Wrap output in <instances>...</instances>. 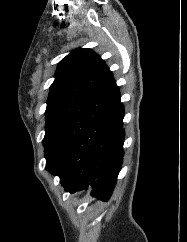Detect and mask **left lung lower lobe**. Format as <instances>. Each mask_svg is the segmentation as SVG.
Returning <instances> with one entry per match:
<instances>
[{
  "instance_id": "0a47b994",
  "label": "left lung lower lobe",
  "mask_w": 187,
  "mask_h": 242,
  "mask_svg": "<svg viewBox=\"0 0 187 242\" xmlns=\"http://www.w3.org/2000/svg\"><path fill=\"white\" fill-rule=\"evenodd\" d=\"M123 117L124 107L119 101L79 138L52 172L60 177L67 192L91 186L94 197L103 201L110 198L124 155Z\"/></svg>"
}]
</instances>
